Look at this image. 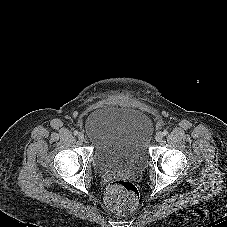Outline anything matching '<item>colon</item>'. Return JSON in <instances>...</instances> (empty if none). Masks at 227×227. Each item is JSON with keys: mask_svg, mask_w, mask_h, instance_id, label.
<instances>
[{"mask_svg": "<svg viewBox=\"0 0 227 227\" xmlns=\"http://www.w3.org/2000/svg\"><path fill=\"white\" fill-rule=\"evenodd\" d=\"M138 200V190L128 180H112L106 187L105 202L120 216H125L133 212L138 206Z\"/></svg>", "mask_w": 227, "mask_h": 227, "instance_id": "5ec220e1", "label": "colon"}]
</instances>
